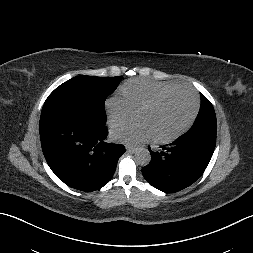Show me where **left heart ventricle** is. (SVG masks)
Segmentation results:
<instances>
[{"label":"left heart ventricle","instance_id":"1","mask_svg":"<svg viewBox=\"0 0 253 253\" xmlns=\"http://www.w3.org/2000/svg\"><path fill=\"white\" fill-rule=\"evenodd\" d=\"M194 110V101L186 92H176L163 98L151 109L138 112L137 119L145 122L153 137L172 134L182 127Z\"/></svg>","mask_w":253,"mask_h":253}]
</instances>
